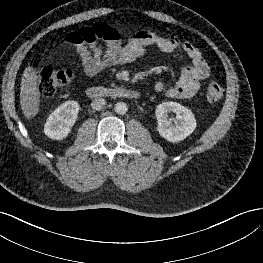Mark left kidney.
<instances>
[{"label": "left kidney", "mask_w": 263, "mask_h": 263, "mask_svg": "<svg viewBox=\"0 0 263 263\" xmlns=\"http://www.w3.org/2000/svg\"><path fill=\"white\" fill-rule=\"evenodd\" d=\"M176 114V119L169 118L168 113ZM157 130L161 137L169 142H179L189 136L196 128V119L191 110L176 102H163L156 107Z\"/></svg>", "instance_id": "1"}]
</instances>
